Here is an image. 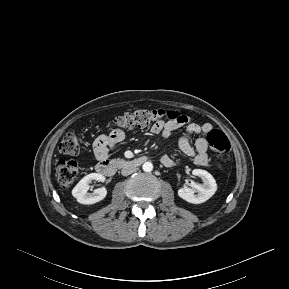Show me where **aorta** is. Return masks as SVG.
Here are the masks:
<instances>
[{
	"label": "aorta",
	"instance_id": "762f6f07",
	"mask_svg": "<svg viewBox=\"0 0 289 289\" xmlns=\"http://www.w3.org/2000/svg\"><path fill=\"white\" fill-rule=\"evenodd\" d=\"M142 169L143 171L145 172H151L153 170V164L151 162H145L143 165H142Z\"/></svg>",
	"mask_w": 289,
	"mask_h": 289
}]
</instances>
